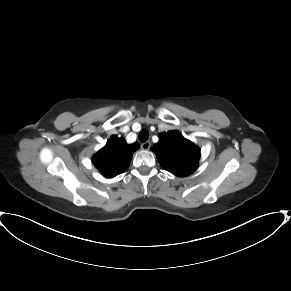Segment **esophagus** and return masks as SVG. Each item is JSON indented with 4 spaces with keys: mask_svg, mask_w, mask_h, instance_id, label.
Here are the masks:
<instances>
[{
    "mask_svg": "<svg viewBox=\"0 0 291 291\" xmlns=\"http://www.w3.org/2000/svg\"><path fill=\"white\" fill-rule=\"evenodd\" d=\"M150 146H151V144H150L149 141L144 142V143L141 144L142 150H149L150 149Z\"/></svg>",
    "mask_w": 291,
    "mask_h": 291,
    "instance_id": "1",
    "label": "esophagus"
}]
</instances>
